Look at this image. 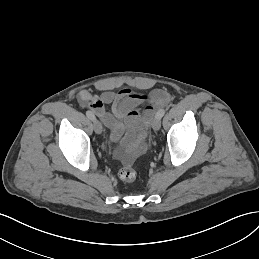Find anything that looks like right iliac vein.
<instances>
[{"mask_svg": "<svg viewBox=\"0 0 259 259\" xmlns=\"http://www.w3.org/2000/svg\"><path fill=\"white\" fill-rule=\"evenodd\" d=\"M94 131L96 132V134H100L102 132V126L101 123L98 120H94Z\"/></svg>", "mask_w": 259, "mask_h": 259, "instance_id": "1", "label": "right iliac vein"}]
</instances>
